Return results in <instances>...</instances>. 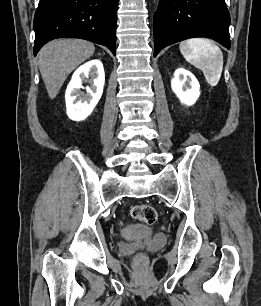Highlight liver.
<instances>
[{"mask_svg":"<svg viewBox=\"0 0 261 306\" xmlns=\"http://www.w3.org/2000/svg\"><path fill=\"white\" fill-rule=\"evenodd\" d=\"M95 51L92 43L81 39H58L47 43L38 54L39 70L48 95L54 99L68 75Z\"/></svg>","mask_w":261,"mask_h":306,"instance_id":"6515ba94","label":"liver"}]
</instances>
